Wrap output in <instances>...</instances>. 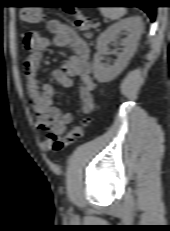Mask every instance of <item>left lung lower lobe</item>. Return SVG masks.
I'll return each mask as SVG.
<instances>
[{"label":"left lung lower lobe","instance_id":"obj_1","mask_svg":"<svg viewBox=\"0 0 170 231\" xmlns=\"http://www.w3.org/2000/svg\"><path fill=\"white\" fill-rule=\"evenodd\" d=\"M132 3L138 4L136 7L144 10L150 17L151 21L155 20V8L154 2L152 0H134Z\"/></svg>","mask_w":170,"mask_h":231}]
</instances>
